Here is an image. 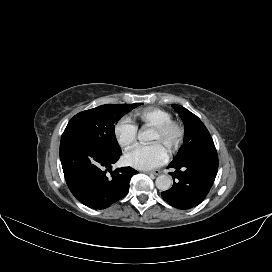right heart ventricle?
Here are the masks:
<instances>
[{
    "label": "right heart ventricle",
    "mask_w": 272,
    "mask_h": 272,
    "mask_svg": "<svg viewBox=\"0 0 272 272\" xmlns=\"http://www.w3.org/2000/svg\"><path fill=\"white\" fill-rule=\"evenodd\" d=\"M132 117L143 125L150 127H156L172 119L169 111L158 107H146L136 110L133 112Z\"/></svg>",
    "instance_id": "1"
}]
</instances>
